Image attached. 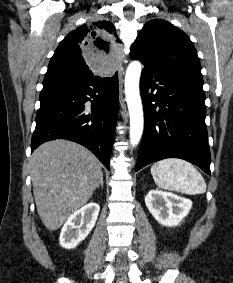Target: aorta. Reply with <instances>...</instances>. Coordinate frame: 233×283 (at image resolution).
I'll return each mask as SVG.
<instances>
[{"instance_id": "obj_1", "label": "aorta", "mask_w": 233, "mask_h": 283, "mask_svg": "<svg viewBox=\"0 0 233 283\" xmlns=\"http://www.w3.org/2000/svg\"><path fill=\"white\" fill-rule=\"evenodd\" d=\"M142 66L139 61H133L127 67L125 75V96L130 116V143L136 146L143 134V106L139 92V81Z\"/></svg>"}]
</instances>
